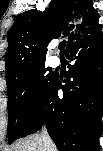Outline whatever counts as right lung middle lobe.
Segmentation results:
<instances>
[{
  "instance_id": "obj_1",
  "label": "right lung middle lobe",
  "mask_w": 103,
  "mask_h": 151,
  "mask_svg": "<svg viewBox=\"0 0 103 151\" xmlns=\"http://www.w3.org/2000/svg\"><path fill=\"white\" fill-rule=\"evenodd\" d=\"M45 63V62H44ZM44 63L33 65L11 81L8 89V143L20 138L39 110L56 74Z\"/></svg>"
}]
</instances>
